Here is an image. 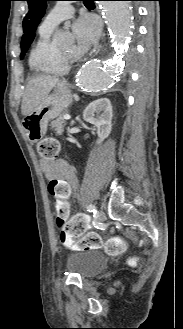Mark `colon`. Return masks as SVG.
<instances>
[{
  "mask_svg": "<svg viewBox=\"0 0 183 329\" xmlns=\"http://www.w3.org/2000/svg\"><path fill=\"white\" fill-rule=\"evenodd\" d=\"M38 154L46 160H54L59 156V143L56 139L47 137L42 139L37 145ZM67 187V186H66ZM67 218H56L57 226L60 230L61 240L77 238L76 246L81 249H97L102 246L100 236L92 231L93 225L87 224L85 216H78L66 222ZM125 249V242L120 237H113L105 244V250L110 255H117Z\"/></svg>",
  "mask_w": 183,
  "mask_h": 329,
  "instance_id": "obj_1",
  "label": "colon"
}]
</instances>
